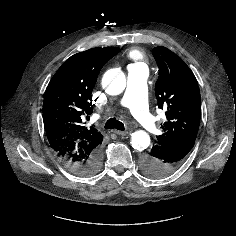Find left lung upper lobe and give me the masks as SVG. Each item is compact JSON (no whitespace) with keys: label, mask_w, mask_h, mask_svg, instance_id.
Instances as JSON below:
<instances>
[{"label":"left lung upper lobe","mask_w":236,"mask_h":236,"mask_svg":"<svg viewBox=\"0 0 236 236\" xmlns=\"http://www.w3.org/2000/svg\"><path fill=\"white\" fill-rule=\"evenodd\" d=\"M159 68L155 95L160 109L166 110L164 133L157 136L158 145H194L201 118L200 91L187 64L165 47L153 49Z\"/></svg>","instance_id":"1"}]
</instances>
